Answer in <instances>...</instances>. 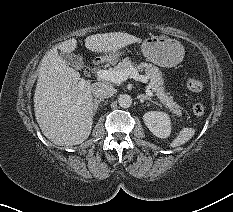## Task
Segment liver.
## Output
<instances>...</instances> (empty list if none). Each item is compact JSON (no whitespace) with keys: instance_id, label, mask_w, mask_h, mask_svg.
<instances>
[{"instance_id":"1","label":"liver","mask_w":233,"mask_h":212,"mask_svg":"<svg viewBox=\"0 0 233 212\" xmlns=\"http://www.w3.org/2000/svg\"><path fill=\"white\" fill-rule=\"evenodd\" d=\"M141 39L123 32L95 34L85 39V47L97 53H112ZM77 40L71 38L50 49L38 67L34 94L37 123L45 137L56 145H78L85 141L93 124L91 84L82 83L79 72L58 54L71 53ZM103 83V82H101Z\"/></svg>"}]
</instances>
